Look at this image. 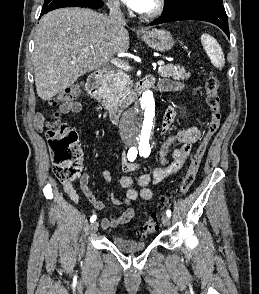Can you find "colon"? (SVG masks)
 <instances>
[{"label":"colon","instance_id":"obj_1","mask_svg":"<svg viewBox=\"0 0 259 294\" xmlns=\"http://www.w3.org/2000/svg\"><path fill=\"white\" fill-rule=\"evenodd\" d=\"M219 86L220 82L218 77L216 74L211 73L205 84L206 103L210 111L206 130L192 157L187 172L181 177L178 185L162 197L159 204L160 212L170 204L173 197L183 196L189 191L195 180L205 151L219 129L222 117ZM80 92V84L70 86L53 99L51 106L55 107L59 104L73 102ZM49 118L50 121L48 123L46 137L54 162V174L59 181L70 183L79 176L81 169L83 155L78 144V135L75 130L59 120L58 113L53 112L49 114ZM159 216V213H153L140 225L139 233L141 236H148L158 230Z\"/></svg>","mask_w":259,"mask_h":294}]
</instances>
